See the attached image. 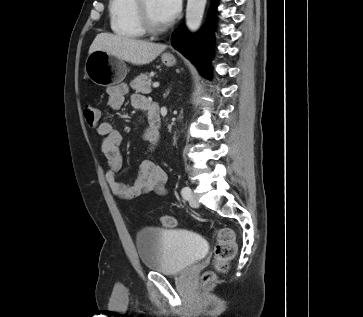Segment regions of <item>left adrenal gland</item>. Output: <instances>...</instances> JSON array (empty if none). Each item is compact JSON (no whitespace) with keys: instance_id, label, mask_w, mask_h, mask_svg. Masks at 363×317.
I'll return each mask as SVG.
<instances>
[{"instance_id":"left-adrenal-gland-1","label":"left adrenal gland","mask_w":363,"mask_h":317,"mask_svg":"<svg viewBox=\"0 0 363 317\" xmlns=\"http://www.w3.org/2000/svg\"><path fill=\"white\" fill-rule=\"evenodd\" d=\"M168 94H169V90L166 91V93L164 94V97H167Z\"/></svg>"}]
</instances>
